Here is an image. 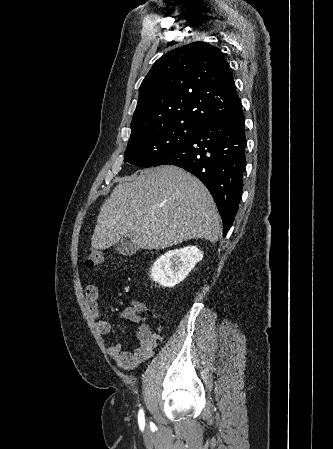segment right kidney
Instances as JSON below:
<instances>
[{"label":"right kidney","mask_w":333,"mask_h":449,"mask_svg":"<svg viewBox=\"0 0 333 449\" xmlns=\"http://www.w3.org/2000/svg\"><path fill=\"white\" fill-rule=\"evenodd\" d=\"M202 258L203 252L196 246L170 250L155 261L151 277L160 286L174 287L188 276Z\"/></svg>","instance_id":"1"}]
</instances>
